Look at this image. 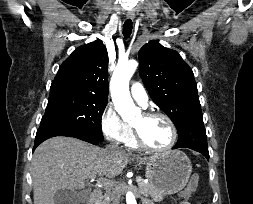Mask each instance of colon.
I'll return each instance as SVG.
<instances>
[{
	"label": "colon",
	"instance_id": "1",
	"mask_svg": "<svg viewBox=\"0 0 253 204\" xmlns=\"http://www.w3.org/2000/svg\"><path fill=\"white\" fill-rule=\"evenodd\" d=\"M200 181V175L198 173H194L191 175L188 185L184 190V197L187 198L192 192L197 189L198 183Z\"/></svg>",
	"mask_w": 253,
	"mask_h": 204
}]
</instances>
